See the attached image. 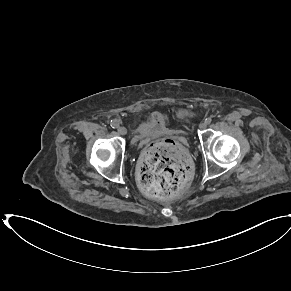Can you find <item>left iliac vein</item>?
<instances>
[{"mask_svg": "<svg viewBox=\"0 0 291 291\" xmlns=\"http://www.w3.org/2000/svg\"><path fill=\"white\" fill-rule=\"evenodd\" d=\"M207 123L204 121V122H201L200 124H199V128L201 129V130H204V129H206V127H207Z\"/></svg>", "mask_w": 291, "mask_h": 291, "instance_id": "obj_1", "label": "left iliac vein"}]
</instances>
